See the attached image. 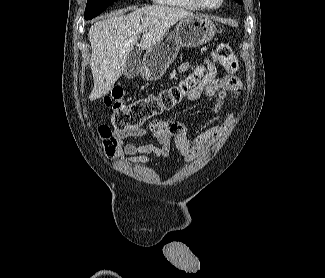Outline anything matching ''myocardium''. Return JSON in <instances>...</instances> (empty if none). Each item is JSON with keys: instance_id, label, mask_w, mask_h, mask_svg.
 I'll list each match as a JSON object with an SVG mask.
<instances>
[{"instance_id": "f54148a6", "label": "myocardium", "mask_w": 325, "mask_h": 278, "mask_svg": "<svg viewBox=\"0 0 325 278\" xmlns=\"http://www.w3.org/2000/svg\"><path fill=\"white\" fill-rule=\"evenodd\" d=\"M202 9H206V10H216L218 8H220L223 3H224V0H220L219 3L215 6H209V5H206L204 3L203 0H194Z\"/></svg>"}]
</instances>
